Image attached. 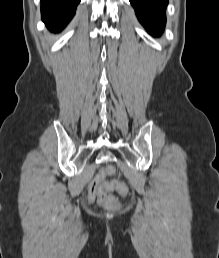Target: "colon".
Instances as JSON below:
<instances>
[{"label":"colon","instance_id":"colon-1","mask_svg":"<svg viewBox=\"0 0 219 258\" xmlns=\"http://www.w3.org/2000/svg\"><path fill=\"white\" fill-rule=\"evenodd\" d=\"M116 173L114 166H106L95 176L88 188V197L91 201L96 200L100 205L107 208H116L118 203L116 198L110 193L117 191L122 196H127L129 193L127 185L118 180L112 179L105 181L106 177H112Z\"/></svg>","mask_w":219,"mask_h":258}]
</instances>
